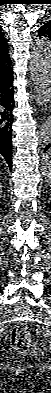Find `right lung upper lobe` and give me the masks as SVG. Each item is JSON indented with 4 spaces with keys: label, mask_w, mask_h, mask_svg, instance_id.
<instances>
[{
    "label": "right lung upper lobe",
    "mask_w": 51,
    "mask_h": 393,
    "mask_svg": "<svg viewBox=\"0 0 51 393\" xmlns=\"http://www.w3.org/2000/svg\"><path fill=\"white\" fill-rule=\"evenodd\" d=\"M10 57L8 53V44L1 32L0 27V76L7 74L12 68L10 67Z\"/></svg>",
    "instance_id": "right-lung-upper-lobe-1"
}]
</instances>
